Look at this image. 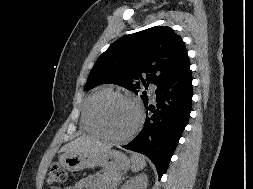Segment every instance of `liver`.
Masks as SVG:
<instances>
[{
	"label": "liver",
	"instance_id": "6515ba94",
	"mask_svg": "<svg viewBox=\"0 0 253 189\" xmlns=\"http://www.w3.org/2000/svg\"><path fill=\"white\" fill-rule=\"evenodd\" d=\"M110 147L103 144L90 136H81L75 140L65 144L60 152L64 153H85V154H100L109 150Z\"/></svg>",
	"mask_w": 253,
	"mask_h": 189
}]
</instances>
